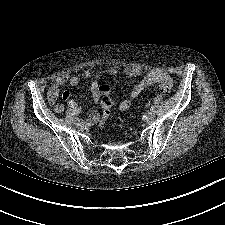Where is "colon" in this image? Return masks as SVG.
I'll use <instances>...</instances> for the list:
<instances>
[{
    "label": "colon",
    "mask_w": 225,
    "mask_h": 225,
    "mask_svg": "<svg viewBox=\"0 0 225 225\" xmlns=\"http://www.w3.org/2000/svg\"><path fill=\"white\" fill-rule=\"evenodd\" d=\"M159 90L165 94L170 92L169 86L165 84L160 85ZM101 106H102V115L95 122L99 128H101L104 125V123L108 120L111 114L112 101L109 98H105L103 99Z\"/></svg>",
    "instance_id": "5ec220e1"
}]
</instances>
